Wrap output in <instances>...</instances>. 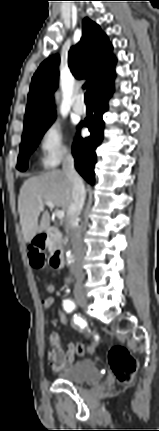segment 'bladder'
Segmentation results:
<instances>
[{
  "label": "bladder",
  "mask_w": 159,
  "mask_h": 431,
  "mask_svg": "<svg viewBox=\"0 0 159 431\" xmlns=\"http://www.w3.org/2000/svg\"><path fill=\"white\" fill-rule=\"evenodd\" d=\"M58 378L73 384H80L101 378V371L91 360H81L58 373Z\"/></svg>",
  "instance_id": "1"
}]
</instances>
